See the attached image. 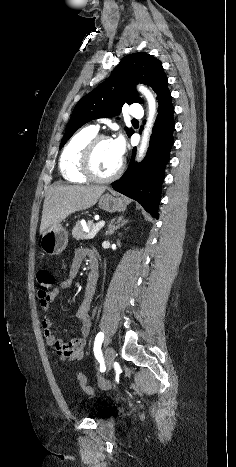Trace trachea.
<instances>
[{"label":"trachea","mask_w":236,"mask_h":467,"mask_svg":"<svg viewBox=\"0 0 236 467\" xmlns=\"http://www.w3.org/2000/svg\"><path fill=\"white\" fill-rule=\"evenodd\" d=\"M132 122H138L136 119H132Z\"/></svg>","instance_id":"3493384b"}]
</instances>
